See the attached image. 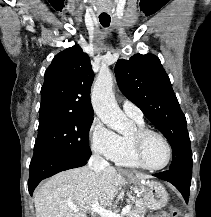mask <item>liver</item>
Returning <instances> with one entry per match:
<instances>
[{
  "mask_svg": "<svg viewBox=\"0 0 211 217\" xmlns=\"http://www.w3.org/2000/svg\"><path fill=\"white\" fill-rule=\"evenodd\" d=\"M123 171L108 166L96 174L89 166L70 169L51 177L34 194L36 217H87L83 207L100 202L108 207L118 187L126 184ZM139 180L151 178L135 173ZM76 206L77 211L70 208Z\"/></svg>",
  "mask_w": 211,
  "mask_h": 217,
  "instance_id": "1",
  "label": "liver"
}]
</instances>
